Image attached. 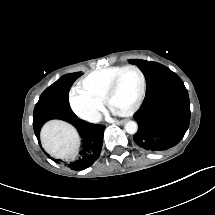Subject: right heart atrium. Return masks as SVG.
I'll return each instance as SVG.
<instances>
[{
  "instance_id": "right-heart-atrium-1",
  "label": "right heart atrium",
  "mask_w": 215,
  "mask_h": 215,
  "mask_svg": "<svg viewBox=\"0 0 215 215\" xmlns=\"http://www.w3.org/2000/svg\"><path fill=\"white\" fill-rule=\"evenodd\" d=\"M69 105L71 110L85 121L96 122L99 119L100 103L87 92L72 89L69 96Z\"/></svg>"
}]
</instances>
